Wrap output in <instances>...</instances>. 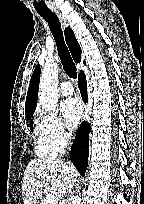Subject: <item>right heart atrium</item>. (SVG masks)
Returning <instances> with one entry per match:
<instances>
[{
	"instance_id": "d8ad5b80",
	"label": "right heart atrium",
	"mask_w": 144,
	"mask_h": 204,
	"mask_svg": "<svg viewBox=\"0 0 144 204\" xmlns=\"http://www.w3.org/2000/svg\"><path fill=\"white\" fill-rule=\"evenodd\" d=\"M37 122L44 140L57 152H62L69 144L72 134L69 128L55 115L39 111Z\"/></svg>"
}]
</instances>
